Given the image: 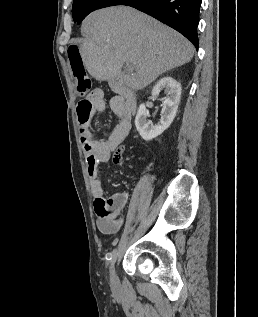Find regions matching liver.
Instances as JSON below:
<instances>
[{
	"label": "liver",
	"instance_id": "obj_1",
	"mask_svg": "<svg viewBox=\"0 0 258 317\" xmlns=\"http://www.w3.org/2000/svg\"><path fill=\"white\" fill-rule=\"evenodd\" d=\"M87 40L79 46L83 64L96 80L139 90L159 74L191 60L195 48L177 30L132 6H108L90 12L81 24ZM131 62L130 74L121 66Z\"/></svg>",
	"mask_w": 258,
	"mask_h": 317
}]
</instances>
